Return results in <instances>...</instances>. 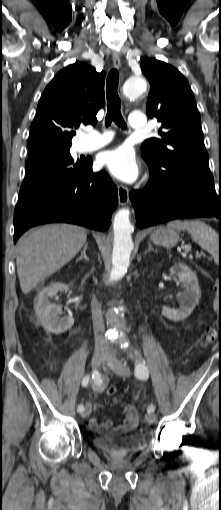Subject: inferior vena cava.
<instances>
[{"label":"inferior vena cava","mask_w":221,"mask_h":510,"mask_svg":"<svg viewBox=\"0 0 221 510\" xmlns=\"http://www.w3.org/2000/svg\"><path fill=\"white\" fill-rule=\"evenodd\" d=\"M92 309V319H93V328H94V336H95V350L101 352H107L109 350L108 342L106 337L104 336V321L101 306L96 300L95 296L91 302Z\"/></svg>","instance_id":"obj_1"}]
</instances>
